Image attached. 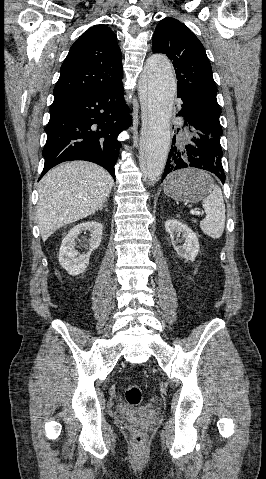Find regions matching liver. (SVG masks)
Listing matches in <instances>:
<instances>
[{
  "label": "liver",
  "instance_id": "liver-1",
  "mask_svg": "<svg viewBox=\"0 0 266 479\" xmlns=\"http://www.w3.org/2000/svg\"><path fill=\"white\" fill-rule=\"evenodd\" d=\"M111 175L87 161H72L50 170L40 181L37 221L42 240L59 228L94 214L108 199Z\"/></svg>",
  "mask_w": 266,
  "mask_h": 479
}]
</instances>
